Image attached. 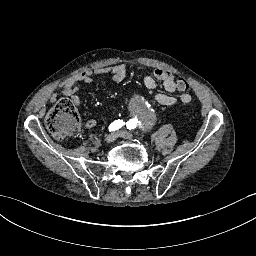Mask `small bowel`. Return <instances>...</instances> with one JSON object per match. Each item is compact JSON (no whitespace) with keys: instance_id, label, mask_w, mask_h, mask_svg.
I'll list each match as a JSON object with an SVG mask.
<instances>
[{"instance_id":"c3829d8e","label":"small bowel","mask_w":256,"mask_h":256,"mask_svg":"<svg viewBox=\"0 0 256 256\" xmlns=\"http://www.w3.org/2000/svg\"><path fill=\"white\" fill-rule=\"evenodd\" d=\"M107 74L111 75L112 80L115 83H122L126 77L127 69L125 65L119 64L113 67H102L81 72L72 76L64 83L63 93L69 97L75 106H79L81 101L77 95L78 83H92L94 77ZM181 80L176 81L174 75L170 71L161 68L155 69L152 74L146 75L143 79L144 84L148 89L154 90L157 87V82L159 81L162 83L165 91L168 93L156 94L154 104L158 106H171L175 104L177 100L184 104H187L191 101L192 97L187 92L189 87L187 90H185L179 86ZM175 91L182 92L178 99L170 95V93ZM56 99L57 95L53 94L51 96V101L54 102Z\"/></svg>"}]
</instances>
